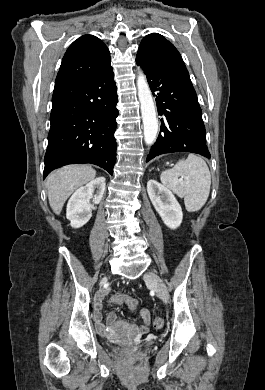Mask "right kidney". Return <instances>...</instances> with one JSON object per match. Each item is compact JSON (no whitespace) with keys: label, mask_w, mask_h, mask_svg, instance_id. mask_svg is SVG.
<instances>
[{"label":"right kidney","mask_w":265,"mask_h":390,"mask_svg":"<svg viewBox=\"0 0 265 390\" xmlns=\"http://www.w3.org/2000/svg\"><path fill=\"white\" fill-rule=\"evenodd\" d=\"M105 186V178L99 177L74 192L68 201L66 211V217L73 228H80L90 220L92 216L90 199H93L94 204H99Z\"/></svg>","instance_id":"right-kidney-1"}]
</instances>
